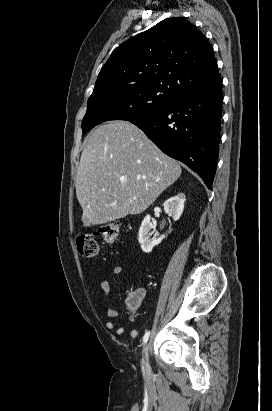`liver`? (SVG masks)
<instances>
[{
  "mask_svg": "<svg viewBox=\"0 0 272 411\" xmlns=\"http://www.w3.org/2000/svg\"><path fill=\"white\" fill-rule=\"evenodd\" d=\"M181 172L179 163L132 123L99 126L88 136L75 182L84 225L142 213Z\"/></svg>",
  "mask_w": 272,
  "mask_h": 411,
  "instance_id": "6515ba94",
  "label": "liver"
}]
</instances>
